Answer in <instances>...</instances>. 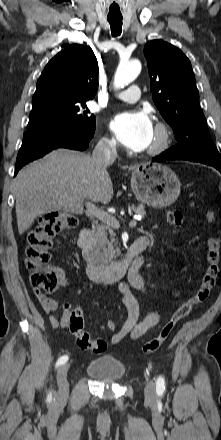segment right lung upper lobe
I'll return each mask as SVG.
<instances>
[{"label": "right lung upper lobe", "instance_id": "1", "mask_svg": "<svg viewBox=\"0 0 221 440\" xmlns=\"http://www.w3.org/2000/svg\"><path fill=\"white\" fill-rule=\"evenodd\" d=\"M98 62L93 50L73 44L52 58L43 70L33 106L51 102L85 103L97 91Z\"/></svg>", "mask_w": 221, "mask_h": 440}]
</instances>
